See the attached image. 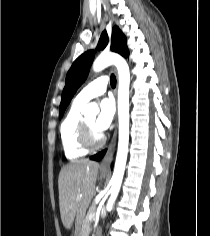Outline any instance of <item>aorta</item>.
<instances>
[{"label":"aorta","mask_w":210,"mask_h":236,"mask_svg":"<svg viewBox=\"0 0 210 236\" xmlns=\"http://www.w3.org/2000/svg\"><path fill=\"white\" fill-rule=\"evenodd\" d=\"M110 65H115L119 75L118 87V117H119V141L113 176L111 178L110 198L107 209H111L118 196L128 153L129 142V84L130 72L127 62L123 57L115 53H101L93 62L92 68L100 72ZM99 108L95 104L86 106L82 113L84 115H96Z\"/></svg>","instance_id":"1"}]
</instances>
